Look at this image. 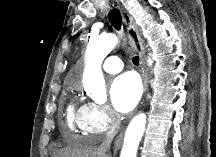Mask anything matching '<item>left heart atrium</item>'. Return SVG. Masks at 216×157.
Returning a JSON list of instances; mask_svg holds the SVG:
<instances>
[{
	"label": "left heart atrium",
	"mask_w": 216,
	"mask_h": 157,
	"mask_svg": "<svg viewBox=\"0 0 216 157\" xmlns=\"http://www.w3.org/2000/svg\"><path fill=\"white\" fill-rule=\"evenodd\" d=\"M141 96V85L132 73L116 77L110 86V100L114 109L122 114L130 112Z\"/></svg>",
	"instance_id": "1"
}]
</instances>
